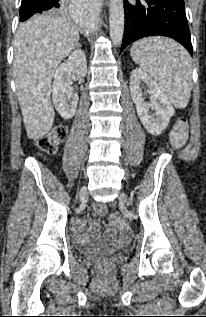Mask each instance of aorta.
I'll list each match as a JSON object with an SVG mask.
<instances>
[{"label": "aorta", "mask_w": 206, "mask_h": 317, "mask_svg": "<svg viewBox=\"0 0 206 317\" xmlns=\"http://www.w3.org/2000/svg\"><path fill=\"white\" fill-rule=\"evenodd\" d=\"M79 24L86 29H94L96 19L88 12L83 11L78 17ZM124 2L123 0H110L109 3V31L112 43L118 46L124 33Z\"/></svg>", "instance_id": "aorta-1"}]
</instances>
